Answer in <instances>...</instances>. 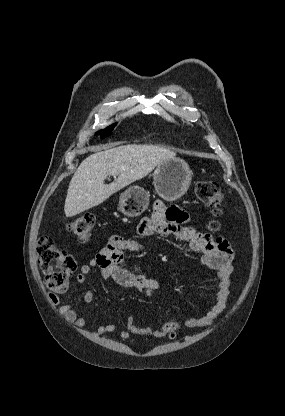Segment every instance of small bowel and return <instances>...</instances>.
<instances>
[{
    "label": "small bowel",
    "instance_id": "obj_1",
    "mask_svg": "<svg viewBox=\"0 0 285 416\" xmlns=\"http://www.w3.org/2000/svg\"><path fill=\"white\" fill-rule=\"evenodd\" d=\"M188 221L189 215L186 211L175 206H166L162 201H157L154 204L151 216L144 218L139 224L138 233L142 237L158 234L179 241H187L191 251L202 254V263L205 266L217 270L219 284L213 304L204 315L189 317L185 321V325L190 328L208 327L213 324L226 307L230 294L234 252L224 237H212L210 234L199 232L195 228L187 226ZM143 250L144 245L137 240L112 236L89 263L81 266L76 281L80 285L84 284L87 275L97 268L103 279L113 280L120 286L135 289L150 296L159 286L157 279L153 276L134 273L124 261L125 251L141 252ZM48 298L52 304L59 305L58 312L66 322L74 325L77 329L85 327L86 319L78 315L73 304H62L59 297L54 293H50ZM93 299L94 292L87 290L81 301L90 303ZM115 329L116 326L113 323L101 324L96 328L95 333L105 335L114 332ZM132 334L162 335L161 331L152 327L143 328L136 325L132 317H129L126 327L120 331V337L126 340Z\"/></svg>",
    "mask_w": 285,
    "mask_h": 416
}]
</instances>
